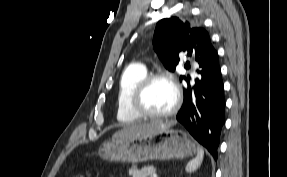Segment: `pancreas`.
<instances>
[{"label": "pancreas", "mask_w": 287, "mask_h": 177, "mask_svg": "<svg viewBox=\"0 0 287 177\" xmlns=\"http://www.w3.org/2000/svg\"><path fill=\"white\" fill-rule=\"evenodd\" d=\"M156 172L153 166H144L140 170L136 167H131L129 169V175L132 177H150Z\"/></svg>", "instance_id": "obj_1"}]
</instances>
